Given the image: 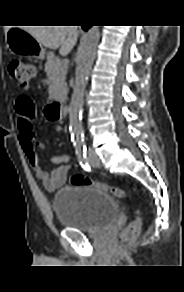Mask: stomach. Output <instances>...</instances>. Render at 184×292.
<instances>
[{
  "mask_svg": "<svg viewBox=\"0 0 184 292\" xmlns=\"http://www.w3.org/2000/svg\"><path fill=\"white\" fill-rule=\"evenodd\" d=\"M6 43L14 55H28L35 59H44L43 46L27 31L13 27L6 33Z\"/></svg>",
  "mask_w": 184,
  "mask_h": 292,
  "instance_id": "stomach-1",
  "label": "stomach"
}]
</instances>
